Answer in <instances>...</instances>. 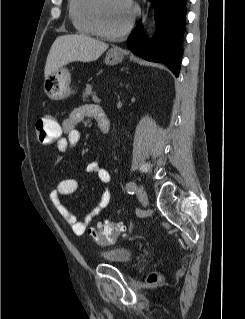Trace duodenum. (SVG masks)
<instances>
[{"mask_svg": "<svg viewBox=\"0 0 245 319\" xmlns=\"http://www.w3.org/2000/svg\"><path fill=\"white\" fill-rule=\"evenodd\" d=\"M97 122H98V127L102 133L106 134L109 132L110 120L104 112L99 114V116L97 117Z\"/></svg>", "mask_w": 245, "mask_h": 319, "instance_id": "duodenum-1", "label": "duodenum"}]
</instances>
